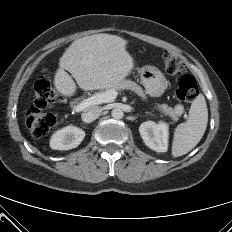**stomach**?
<instances>
[{"mask_svg":"<svg viewBox=\"0 0 232 232\" xmlns=\"http://www.w3.org/2000/svg\"><path fill=\"white\" fill-rule=\"evenodd\" d=\"M140 73L141 82L149 95L159 97L164 93L167 81L161 71L155 67L146 66Z\"/></svg>","mask_w":232,"mask_h":232,"instance_id":"0dacf381","label":"stomach"}]
</instances>
